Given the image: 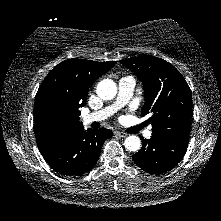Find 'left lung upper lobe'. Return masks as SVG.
<instances>
[{"label":"left lung upper lobe","instance_id":"1","mask_svg":"<svg viewBox=\"0 0 221 221\" xmlns=\"http://www.w3.org/2000/svg\"><path fill=\"white\" fill-rule=\"evenodd\" d=\"M142 81L145 102L141 115L150 114L153 135L188 144L192 116L191 90L180 72L167 61L149 55L121 60Z\"/></svg>","mask_w":221,"mask_h":221}]
</instances>
